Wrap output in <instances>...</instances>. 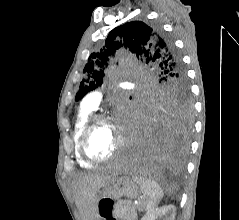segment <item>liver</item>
Returning a JSON list of instances; mask_svg holds the SVG:
<instances>
[{
	"label": "liver",
	"instance_id": "1",
	"mask_svg": "<svg viewBox=\"0 0 239 220\" xmlns=\"http://www.w3.org/2000/svg\"><path fill=\"white\" fill-rule=\"evenodd\" d=\"M119 170L118 167L115 168ZM114 175L88 173L79 176L74 183V199L83 220H94L97 215V191Z\"/></svg>",
	"mask_w": 239,
	"mask_h": 220
}]
</instances>
